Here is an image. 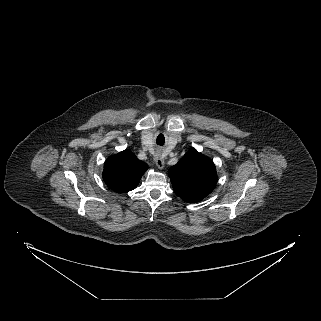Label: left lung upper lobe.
I'll use <instances>...</instances> for the list:
<instances>
[{
	"instance_id": "obj_1",
	"label": "left lung upper lobe",
	"mask_w": 321,
	"mask_h": 321,
	"mask_svg": "<svg viewBox=\"0 0 321 321\" xmlns=\"http://www.w3.org/2000/svg\"><path fill=\"white\" fill-rule=\"evenodd\" d=\"M169 177L175 193L188 203L204 199L217 183L215 165L194 148L169 169Z\"/></svg>"
}]
</instances>
